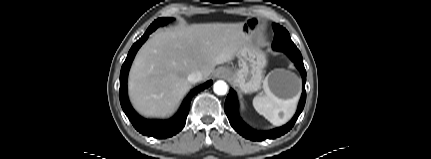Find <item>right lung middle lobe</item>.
I'll list each match as a JSON object with an SVG mask.
<instances>
[{
	"label": "right lung middle lobe",
	"mask_w": 431,
	"mask_h": 159,
	"mask_svg": "<svg viewBox=\"0 0 431 159\" xmlns=\"http://www.w3.org/2000/svg\"><path fill=\"white\" fill-rule=\"evenodd\" d=\"M171 20H172V18H159V19L155 20L149 27L156 29L159 26H163V25L167 24Z\"/></svg>",
	"instance_id": "obj_1"
}]
</instances>
